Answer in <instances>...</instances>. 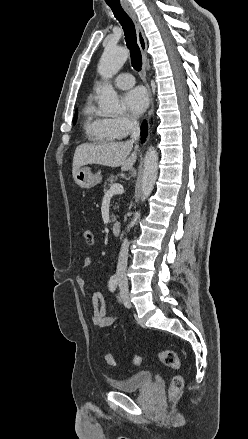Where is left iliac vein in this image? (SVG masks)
<instances>
[{
	"label": "left iliac vein",
	"instance_id": "1",
	"mask_svg": "<svg viewBox=\"0 0 248 439\" xmlns=\"http://www.w3.org/2000/svg\"><path fill=\"white\" fill-rule=\"evenodd\" d=\"M121 299H122L123 304H124L127 308H130V307H131V302H130V300H129V295H128L127 292H124V293L121 294Z\"/></svg>",
	"mask_w": 248,
	"mask_h": 439
}]
</instances>
